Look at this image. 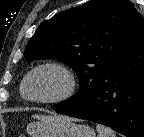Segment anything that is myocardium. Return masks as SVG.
Segmentation results:
<instances>
[{"label": "myocardium", "mask_w": 144, "mask_h": 137, "mask_svg": "<svg viewBox=\"0 0 144 137\" xmlns=\"http://www.w3.org/2000/svg\"><path fill=\"white\" fill-rule=\"evenodd\" d=\"M43 70H54L60 73L65 80L64 89L58 95L50 98L29 97L28 95H26L27 83L29 82V80L33 75ZM76 87H77V81H76L75 74L69 67L59 62H44L33 67L25 75L21 83L20 93L21 96L29 102L39 103V104H57L70 99L75 94Z\"/></svg>", "instance_id": "obj_1"}]
</instances>
